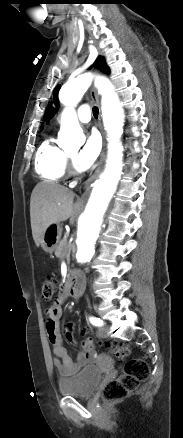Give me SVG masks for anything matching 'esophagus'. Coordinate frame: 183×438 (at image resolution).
Here are the masks:
<instances>
[{
	"label": "esophagus",
	"instance_id": "1",
	"mask_svg": "<svg viewBox=\"0 0 183 438\" xmlns=\"http://www.w3.org/2000/svg\"><path fill=\"white\" fill-rule=\"evenodd\" d=\"M90 95H91L92 100L94 102H96L97 106L99 107V127H100V131H101L102 137H103V147H102V151H101V154H100V158H99V161H98L97 168L95 169L93 174H91L90 177L85 181V183L82 186V189H87L89 187V185L98 177V175L102 171V168H103V165H104V161H105V158H106V152H105V150H106V139H105V133L103 131L102 123H101L100 100H99V95L97 93V90L95 89L94 86L91 87Z\"/></svg>",
	"mask_w": 183,
	"mask_h": 438
}]
</instances>
